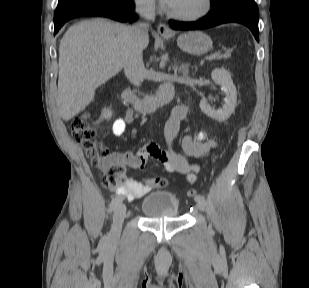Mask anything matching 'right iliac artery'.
<instances>
[{"instance_id": "82829eb1", "label": "right iliac artery", "mask_w": 309, "mask_h": 288, "mask_svg": "<svg viewBox=\"0 0 309 288\" xmlns=\"http://www.w3.org/2000/svg\"><path fill=\"white\" fill-rule=\"evenodd\" d=\"M120 202H121V197L117 196L113 198L110 203V211H113Z\"/></svg>"}]
</instances>
